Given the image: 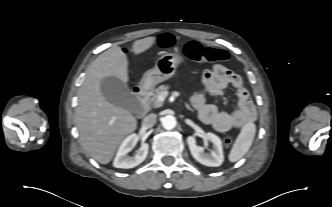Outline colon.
Returning a JSON list of instances; mask_svg holds the SVG:
<instances>
[{
	"label": "colon",
	"instance_id": "1",
	"mask_svg": "<svg viewBox=\"0 0 332 207\" xmlns=\"http://www.w3.org/2000/svg\"><path fill=\"white\" fill-rule=\"evenodd\" d=\"M174 42V37L171 34H163L157 40V45L160 47H170ZM184 52L187 57L198 62L219 63L227 62L229 55L226 51L218 48L203 47L196 41H190L186 44ZM226 146L232 143L230 137L224 139Z\"/></svg>",
	"mask_w": 332,
	"mask_h": 207
}]
</instances>
